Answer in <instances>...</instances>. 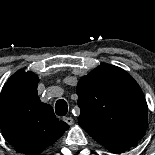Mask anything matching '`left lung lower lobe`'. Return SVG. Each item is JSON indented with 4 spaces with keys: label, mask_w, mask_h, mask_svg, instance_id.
Listing matches in <instances>:
<instances>
[{
    "label": "left lung lower lobe",
    "mask_w": 155,
    "mask_h": 155,
    "mask_svg": "<svg viewBox=\"0 0 155 155\" xmlns=\"http://www.w3.org/2000/svg\"><path fill=\"white\" fill-rule=\"evenodd\" d=\"M132 146L134 145H131V146H121V147H118V148H114V149H111L109 151L113 152V153H121L123 151H126L128 150L129 148H131Z\"/></svg>",
    "instance_id": "obj_1"
}]
</instances>
